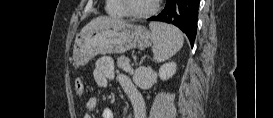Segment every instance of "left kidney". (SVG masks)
<instances>
[{
    "mask_svg": "<svg viewBox=\"0 0 273 118\" xmlns=\"http://www.w3.org/2000/svg\"><path fill=\"white\" fill-rule=\"evenodd\" d=\"M176 68L177 65L175 62L163 64L159 69L160 79L163 81L170 79L176 73Z\"/></svg>",
    "mask_w": 273,
    "mask_h": 118,
    "instance_id": "1",
    "label": "left kidney"
}]
</instances>
